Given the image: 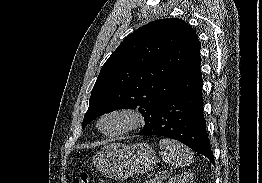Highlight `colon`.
Returning <instances> with one entry per match:
<instances>
[{"label": "colon", "instance_id": "1", "mask_svg": "<svg viewBox=\"0 0 262 183\" xmlns=\"http://www.w3.org/2000/svg\"><path fill=\"white\" fill-rule=\"evenodd\" d=\"M91 175L89 173L79 174L73 181V183H90Z\"/></svg>", "mask_w": 262, "mask_h": 183}]
</instances>
